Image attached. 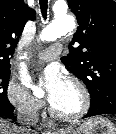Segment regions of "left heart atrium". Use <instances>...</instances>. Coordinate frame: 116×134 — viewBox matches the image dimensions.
<instances>
[{
  "label": "left heart atrium",
  "mask_w": 116,
  "mask_h": 134,
  "mask_svg": "<svg viewBox=\"0 0 116 134\" xmlns=\"http://www.w3.org/2000/svg\"><path fill=\"white\" fill-rule=\"evenodd\" d=\"M46 100L53 106L63 95L67 83L56 67L46 68L40 75Z\"/></svg>",
  "instance_id": "obj_1"
}]
</instances>
